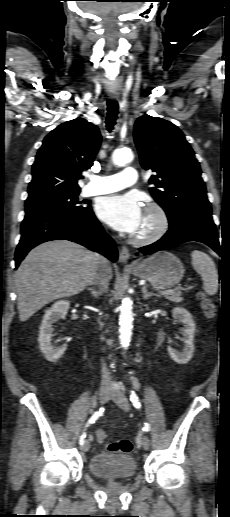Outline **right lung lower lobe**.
<instances>
[{"label": "right lung lower lobe", "mask_w": 230, "mask_h": 517, "mask_svg": "<svg viewBox=\"0 0 230 517\" xmlns=\"http://www.w3.org/2000/svg\"><path fill=\"white\" fill-rule=\"evenodd\" d=\"M51 240L79 243L114 262L118 257L115 242L106 235L91 208L80 213L43 210L25 215L15 252L16 267L32 248Z\"/></svg>", "instance_id": "obj_1"}]
</instances>
